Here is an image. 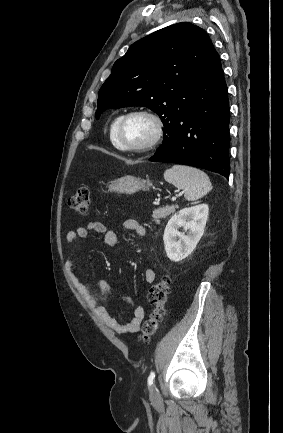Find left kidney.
<instances>
[{
	"label": "left kidney",
	"mask_w": 283,
	"mask_h": 433,
	"mask_svg": "<svg viewBox=\"0 0 283 433\" xmlns=\"http://www.w3.org/2000/svg\"><path fill=\"white\" fill-rule=\"evenodd\" d=\"M208 212L207 204H199L184 208L171 217L163 236L165 251L171 261H181L193 252L204 233ZM181 227L188 230V234L180 232Z\"/></svg>",
	"instance_id": "1"
}]
</instances>
